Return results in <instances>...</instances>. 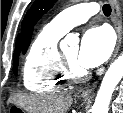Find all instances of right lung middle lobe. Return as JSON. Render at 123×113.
Instances as JSON below:
<instances>
[{
	"label": "right lung middle lobe",
	"mask_w": 123,
	"mask_h": 113,
	"mask_svg": "<svg viewBox=\"0 0 123 113\" xmlns=\"http://www.w3.org/2000/svg\"><path fill=\"white\" fill-rule=\"evenodd\" d=\"M18 56H19V53L14 54L13 71H14L15 75L17 74Z\"/></svg>",
	"instance_id": "dd1d6c3e"
}]
</instances>
